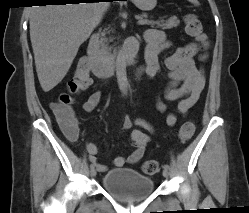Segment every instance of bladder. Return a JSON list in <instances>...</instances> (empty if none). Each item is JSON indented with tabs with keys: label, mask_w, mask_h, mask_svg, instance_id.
I'll return each mask as SVG.
<instances>
[{
	"label": "bladder",
	"mask_w": 249,
	"mask_h": 213,
	"mask_svg": "<svg viewBox=\"0 0 249 213\" xmlns=\"http://www.w3.org/2000/svg\"><path fill=\"white\" fill-rule=\"evenodd\" d=\"M102 188L121 202L134 203L152 194L155 186L147 175L130 168H118L103 176Z\"/></svg>",
	"instance_id": "obj_1"
}]
</instances>
